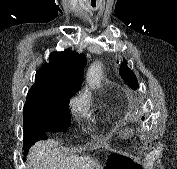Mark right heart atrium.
Wrapping results in <instances>:
<instances>
[{"label":"right heart atrium","instance_id":"1","mask_svg":"<svg viewBox=\"0 0 177 169\" xmlns=\"http://www.w3.org/2000/svg\"><path fill=\"white\" fill-rule=\"evenodd\" d=\"M70 108L76 118L84 117L89 108V100L83 93L75 96L70 102Z\"/></svg>","mask_w":177,"mask_h":169}]
</instances>
